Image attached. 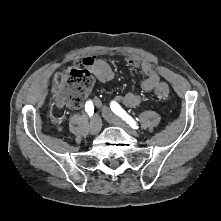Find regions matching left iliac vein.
I'll return each instance as SVG.
<instances>
[{
    "label": "left iliac vein",
    "instance_id": "4c4485c4",
    "mask_svg": "<svg viewBox=\"0 0 221 221\" xmlns=\"http://www.w3.org/2000/svg\"><path fill=\"white\" fill-rule=\"evenodd\" d=\"M102 115L109 123L123 128L125 131L134 136H138L136 131H134L126 122L118 118L109 108L103 107Z\"/></svg>",
    "mask_w": 221,
    "mask_h": 221
}]
</instances>
